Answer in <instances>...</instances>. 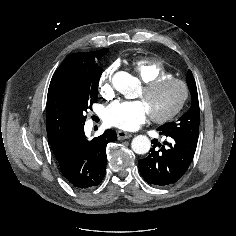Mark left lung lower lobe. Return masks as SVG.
Here are the masks:
<instances>
[{
  "label": "left lung lower lobe",
  "instance_id": "0a47b994",
  "mask_svg": "<svg viewBox=\"0 0 236 236\" xmlns=\"http://www.w3.org/2000/svg\"><path fill=\"white\" fill-rule=\"evenodd\" d=\"M157 130L160 131V135L169 137L170 142L161 145L154 139L151 153L139 160L138 166L147 183L166 186L177 182L184 175L194 157L197 141L179 134Z\"/></svg>",
  "mask_w": 236,
  "mask_h": 236
}]
</instances>
